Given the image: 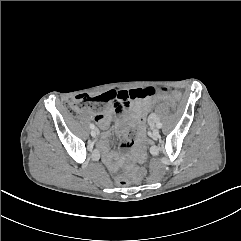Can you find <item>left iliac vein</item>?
Returning a JSON list of instances; mask_svg holds the SVG:
<instances>
[{
    "instance_id": "4c4485c4",
    "label": "left iliac vein",
    "mask_w": 241,
    "mask_h": 241,
    "mask_svg": "<svg viewBox=\"0 0 241 241\" xmlns=\"http://www.w3.org/2000/svg\"><path fill=\"white\" fill-rule=\"evenodd\" d=\"M152 133L154 136H157L159 134V130L157 128H153Z\"/></svg>"
}]
</instances>
